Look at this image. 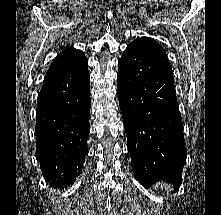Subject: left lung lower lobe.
Segmentation results:
<instances>
[{
  "label": "left lung lower lobe",
  "instance_id": "0a47b994",
  "mask_svg": "<svg viewBox=\"0 0 221 215\" xmlns=\"http://www.w3.org/2000/svg\"><path fill=\"white\" fill-rule=\"evenodd\" d=\"M117 84L136 179L146 187L167 180L178 189L186 149L171 66L131 43L118 62Z\"/></svg>",
  "mask_w": 221,
  "mask_h": 215
}]
</instances>
